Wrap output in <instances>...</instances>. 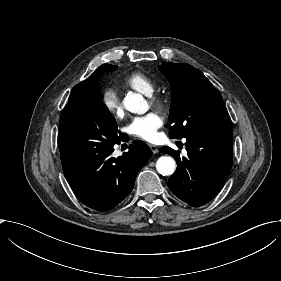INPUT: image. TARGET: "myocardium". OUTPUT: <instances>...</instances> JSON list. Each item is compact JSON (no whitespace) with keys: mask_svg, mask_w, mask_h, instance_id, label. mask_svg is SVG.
Listing matches in <instances>:
<instances>
[{"mask_svg":"<svg viewBox=\"0 0 281 281\" xmlns=\"http://www.w3.org/2000/svg\"><path fill=\"white\" fill-rule=\"evenodd\" d=\"M151 103L154 104V105L160 106V101L158 99H153L151 101Z\"/></svg>","mask_w":281,"mask_h":281,"instance_id":"f54148a6","label":"myocardium"}]
</instances>
